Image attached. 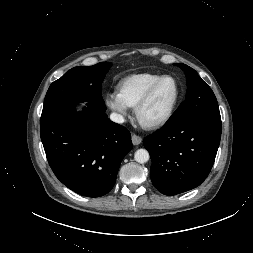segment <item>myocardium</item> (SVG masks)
<instances>
[{"instance_id": "1", "label": "myocardium", "mask_w": 253, "mask_h": 253, "mask_svg": "<svg viewBox=\"0 0 253 253\" xmlns=\"http://www.w3.org/2000/svg\"><path fill=\"white\" fill-rule=\"evenodd\" d=\"M165 79H172L175 83L176 86V92H175V96L168 108V110L166 111V113L159 118L156 121L153 122H145L142 119V113L144 111V109L146 108V106L149 104V102L151 101L152 97L154 96L156 90L158 89V87L160 86V84L165 80ZM180 98V85L178 80L171 75H163L161 76L148 90L147 92L144 94V96L141 98V100L138 102V104L135 106V117L137 122L139 123V125L147 130H156L159 129L161 127H163L165 124H167V122L171 119L174 110L176 108V105L179 101Z\"/></svg>"}]
</instances>
